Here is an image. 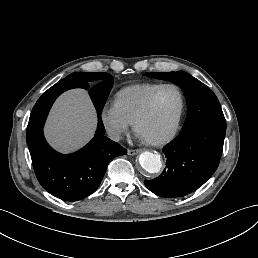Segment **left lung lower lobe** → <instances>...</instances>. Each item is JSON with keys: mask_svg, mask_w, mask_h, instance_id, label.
<instances>
[{"mask_svg": "<svg viewBox=\"0 0 258 258\" xmlns=\"http://www.w3.org/2000/svg\"><path fill=\"white\" fill-rule=\"evenodd\" d=\"M225 130L205 126L178 136L163 148L167 158L164 171L153 180H145V186L166 198L183 197L197 190L219 165Z\"/></svg>", "mask_w": 258, "mask_h": 258, "instance_id": "0a47b994", "label": "left lung lower lobe"}]
</instances>
